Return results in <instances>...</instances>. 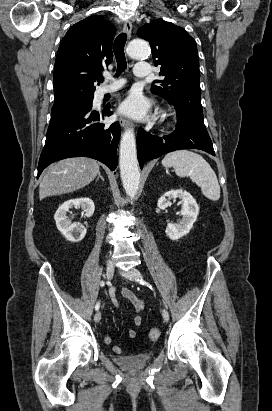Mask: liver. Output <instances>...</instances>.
<instances>
[{
    "label": "liver",
    "mask_w": 272,
    "mask_h": 411,
    "mask_svg": "<svg viewBox=\"0 0 272 411\" xmlns=\"http://www.w3.org/2000/svg\"><path fill=\"white\" fill-rule=\"evenodd\" d=\"M99 169L96 160L86 157L68 158L51 165L39 185L40 200L88 185L95 179Z\"/></svg>",
    "instance_id": "obj_1"
}]
</instances>
